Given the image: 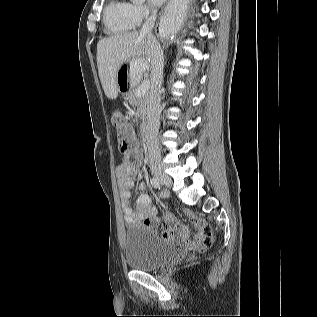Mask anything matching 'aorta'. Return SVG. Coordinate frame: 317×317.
<instances>
[{
	"label": "aorta",
	"instance_id": "1",
	"mask_svg": "<svg viewBox=\"0 0 317 317\" xmlns=\"http://www.w3.org/2000/svg\"><path fill=\"white\" fill-rule=\"evenodd\" d=\"M135 3H142L144 0H132ZM180 20L178 15L174 14L172 11H168L162 18L160 24V30L164 34H172L178 28Z\"/></svg>",
	"mask_w": 317,
	"mask_h": 317
}]
</instances>
